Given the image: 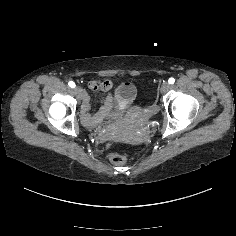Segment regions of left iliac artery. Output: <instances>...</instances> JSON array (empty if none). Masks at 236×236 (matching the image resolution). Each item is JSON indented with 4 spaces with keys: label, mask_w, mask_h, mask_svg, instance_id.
Returning <instances> with one entry per match:
<instances>
[{
    "label": "left iliac artery",
    "mask_w": 236,
    "mask_h": 236,
    "mask_svg": "<svg viewBox=\"0 0 236 236\" xmlns=\"http://www.w3.org/2000/svg\"><path fill=\"white\" fill-rule=\"evenodd\" d=\"M174 82H175V79H174V78H172V77L169 78V80H168V83H169V84H174Z\"/></svg>",
    "instance_id": "44dca946"
}]
</instances>
